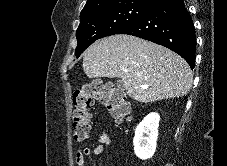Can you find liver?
<instances>
[{"mask_svg": "<svg viewBox=\"0 0 227 166\" xmlns=\"http://www.w3.org/2000/svg\"><path fill=\"white\" fill-rule=\"evenodd\" d=\"M83 70L89 78H120L127 94L143 103L183 97L193 82L181 56L131 35L116 34L94 42L84 52Z\"/></svg>", "mask_w": 227, "mask_h": 166, "instance_id": "6515ba94", "label": "liver"}]
</instances>
